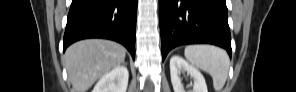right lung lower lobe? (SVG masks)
Instances as JSON below:
<instances>
[{
	"mask_svg": "<svg viewBox=\"0 0 296 92\" xmlns=\"http://www.w3.org/2000/svg\"><path fill=\"white\" fill-rule=\"evenodd\" d=\"M137 0H72L64 50L85 38H105L123 44L135 58Z\"/></svg>",
	"mask_w": 296,
	"mask_h": 92,
	"instance_id": "98d812e1",
	"label": "right lung lower lobe"
}]
</instances>
